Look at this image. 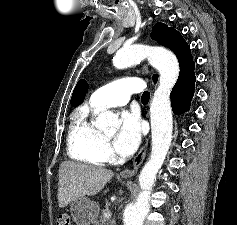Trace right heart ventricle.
Masks as SVG:
<instances>
[{
	"mask_svg": "<svg viewBox=\"0 0 237 225\" xmlns=\"http://www.w3.org/2000/svg\"><path fill=\"white\" fill-rule=\"evenodd\" d=\"M98 110L91 102L89 106L80 108L74 115L68 134V153L71 158L102 165L104 159L100 152L103 141L102 134L93 126L91 113Z\"/></svg>",
	"mask_w": 237,
	"mask_h": 225,
	"instance_id": "1",
	"label": "right heart ventricle"
}]
</instances>
